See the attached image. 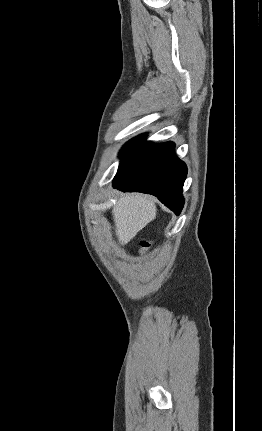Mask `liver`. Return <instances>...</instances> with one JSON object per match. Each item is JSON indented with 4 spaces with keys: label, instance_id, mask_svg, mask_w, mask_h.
Listing matches in <instances>:
<instances>
[{
    "label": "liver",
    "instance_id": "6515ba94",
    "mask_svg": "<svg viewBox=\"0 0 262 431\" xmlns=\"http://www.w3.org/2000/svg\"><path fill=\"white\" fill-rule=\"evenodd\" d=\"M156 213L155 201L152 198L142 194L122 195L112 210L119 243L127 244L156 218Z\"/></svg>",
    "mask_w": 262,
    "mask_h": 431
}]
</instances>
